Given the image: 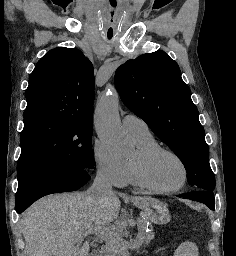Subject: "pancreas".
Returning a JSON list of instances; mask_svg holds the SVG:
<instances>
[{"mask_svg":"<svg viewBox=\"0 0 236 256\" xmlns=\"http://www.w3.org/2000/svg\"><path fill=\"white\" fill-rule=\"evenodd\" d=\"M132 224V219H116V224ZM124 224V226H125ZM124 226H114L113 229H110V232L108 234H105L104 238H102V241L105 242L107 254H122L123 250L126 249H133V246L141 247L142 243H148L150 240H153L154 238V232L151 230V232H147V234L144 233V231H138L139 238H135L134 242H128V238H121L122 234H127V230ZM143 227H149V222H142L140 225V228ZM117 248V249H116Z\"/></svg>","mask_w":236,"mask_h":256,"instance_id":"1","label":"pancreas"}]
</instances>
